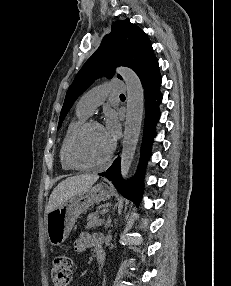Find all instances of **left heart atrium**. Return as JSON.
I'll use <instances>...</instances> for the list:
<instances>
[{"mask_svg": "<svg viewBox=\"0 0 231 286\" xmlns=\"http://www.w3.org/2000/svg\"><path fill=\"white\" fill-rule=\"evenodd\" d=\"M104 130L109 136V138L113 141L118 135L119 131V125L116 119L113 117L108 118Z\"/></svg>", "mask_w": 231, "mask_h": 286, "instance_id": "left-heart-atrium-1", "label": "left heart atrium"}]
</instances>
